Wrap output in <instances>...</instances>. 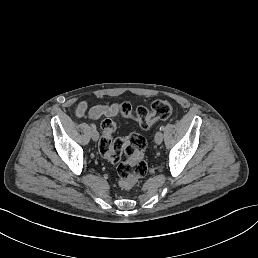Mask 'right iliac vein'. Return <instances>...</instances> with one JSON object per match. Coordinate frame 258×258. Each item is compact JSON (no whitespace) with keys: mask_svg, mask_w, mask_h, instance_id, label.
Returning a JSON list of instances; mask_svg holds the SVG:
<instances>
[{"mask_svg":"<svg viewBox=\"0 0 258 258\" xmlns=\"http://www.w3.org/2000/svg\"><path fill=\"white\" fill-rule=\"evenodd\" d=\"M90 134H91V137L94 139V141H99L100 135L97 130H95V129L92 130Z\"/></svg>","mask_w":258,"mask_h":258,"instance_id":"obj_1","label":"right iliac vein"}]
</instances>
